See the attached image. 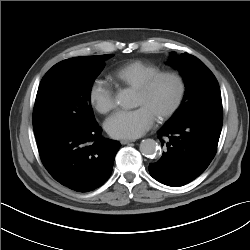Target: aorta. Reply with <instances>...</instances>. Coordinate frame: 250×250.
<instances>
[{"mask_svg": "<svg viewBox=\"0 0 250 250\" xmlns=\"http://www.w3.org/2000/svg\"><path fill=\"white\" fill-rule=\"evenodd\" d=\"M116 103L126 109H130L134 105L133 94L129 90H122L115 97ZM142 155L150 158H155L159 155L160 147L153 139H145L139 146Z\"/></svg>", "mask_w": 250, "mask_h": 250, "instance_id": "762f6f07", "label": "aorta"}]
</instances>
